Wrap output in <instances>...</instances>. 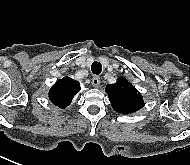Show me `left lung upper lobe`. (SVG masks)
<instances>
[{"instance_id": "left-lung-upper-lobe-1", "label": "left lung upper lobe", "mask_w": 190, "mask_h": 165, "mask_svg": "<svg viewBox=\"0 0 190 165\" xmlns=\"http://www.w3.org/2000/svg\"><path fill=\"white\" fill-rule=\"evenodd\" d=\"M106 92L113 109L118 113H134L144 106L142 95L123 77L118 78L115 84H108Z\"/></svg>"}]
</instances>
